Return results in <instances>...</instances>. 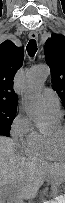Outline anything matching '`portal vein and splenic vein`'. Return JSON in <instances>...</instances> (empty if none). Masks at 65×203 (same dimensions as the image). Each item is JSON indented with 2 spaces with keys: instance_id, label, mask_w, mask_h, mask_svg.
Here are the masks:
<instances>
[{
  "instance_id": "1",
  "label": "portal vein and splenic vein",
  "mask_w": 65,
  "mask_h": 203,
  "mask_svg": "<svg viewBox=\"0 0 65 203\" xmlns=\"http://www.w3.org/2000/svg\"><path fill=\"white\" fill-rule=\"evenodd\" d=\"M17 203H24L23 201H18Z\"/></svg>"
}]
</instances>
